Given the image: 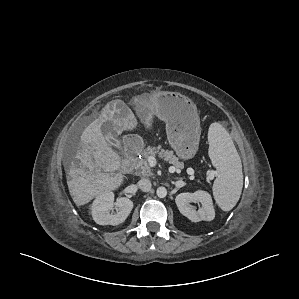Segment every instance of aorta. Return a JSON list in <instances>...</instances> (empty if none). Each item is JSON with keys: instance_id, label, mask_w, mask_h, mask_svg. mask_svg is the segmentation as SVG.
Masks as SVG:
<instances>
[{"instance_id": "aorta-1", "label": "aorta", "mask_w": 299, "mask_h": 299, "mask_svg": "<svg viewBox=\"0 0 299 299\" xmlns=\"http://www.w3.org/2000/svg\"><path fill=\"white\" fill-rule=\"evenodd\" d=\"M156 194L159 198H164L167 196V189L165 187H158Z\"/></svg>"}]
</instances>
